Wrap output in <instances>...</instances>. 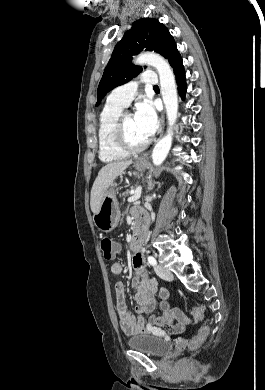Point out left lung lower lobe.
<instances>
[{
	"instance_id": "left-lung-lower-lobe-1",
	"label": "left lung lower lobe",
	"mask_w": 265,
	"mask_h": 390,
	"mask_svg": "<svg viewBox=\"0 0 265 390\" xmlns=\"http://www.w3.org/2000/svg\"><path fill=\"white\" fill-rule=\"evenodd\" d=\"M171 66H172V68L174 70V74L176 76V82L178 85L179 95L181 96L182 99H184L187 88H186L185 70L183 67V61H182L180 54H178L175 57Z\"/></svg>"
}]
</instances>
